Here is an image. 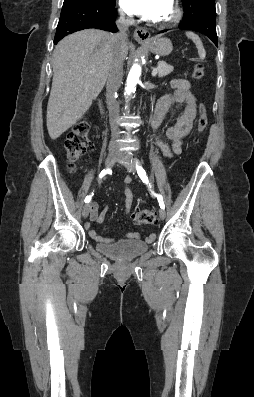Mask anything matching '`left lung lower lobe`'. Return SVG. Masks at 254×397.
<instances>
[{"label":"left lung lower lobe","instance_id":"0a47b994","mask_svg":"<svg viewBox=\"0 0 254 397\" xmlns=\"http://www.w3.org/2000/svg\"><path fill=\"white\" fill-rule=\"evenodd\" d=\"M183 6L184 16L179 28L200 32L218 46L215 0H188ZM165 31L167 30L160 33Z\"/></svg>","mask_w":254,"mask_h":397}]
</instances>
